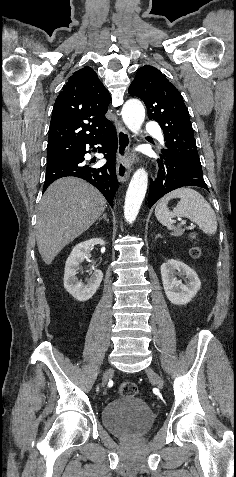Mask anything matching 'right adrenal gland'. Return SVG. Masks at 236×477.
<instances>
[{
  "mask_svg": "<svg viewBox=\"0 0 236 477\" xmlns=\"http://www.w3.org/2000/svg\"><path fill=\"white\" fill-rule=\"evenodd\" d=\"M102 219H104L107 223L109 222V219L107 218V214H106V213H104V214L102 215V217L99 218V221H101Z\"/></svg>",
  "mask_w": 236,
  "mask_h": 477,
  "instance_id": "1",
  "label": "right adrenal gland"
}]
</instances>
